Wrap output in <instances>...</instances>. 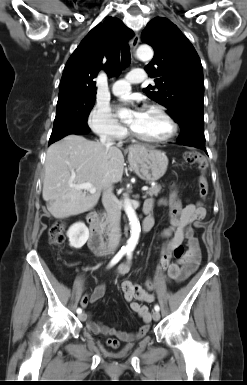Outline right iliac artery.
Instances as JSON below:
<instances>
[{
  "instance_id": "right-iliac-artery-1",
  "label": "right iliac artery",
  "mask_w": 247,
  "mask_h": 385,
  "mask_svg": "<svg viewBox=\"0 0 247 385\" xmlns=\"http://www.w3.org/2000/svg\"><path fill=\"white\" fill-rule=\"evenodd\" d=\"M126 250H120L114 257L113 259L111 260V262L109 263V267H112L114 266L116 263H118L121 258L126 254ZM78 314H81L82 313V309L81 308H78L77 311H76Z\"/></svg>"
}]
</instances>
